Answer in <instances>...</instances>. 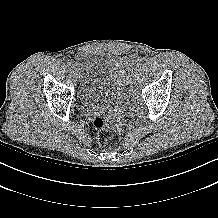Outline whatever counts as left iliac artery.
<instances>
[{
  "instance_id": "1",
  "label": "left iliac artery",
  "mask_w": 218,
  "mask_h": 218,
  "mask_svg": "<svg viewBox=\"0 0 218 218\" xmlns=\"http://www.w3.org/2000/svg\"><path fill=\"white\" fill-rule=\"evenodd\" d=\"M139 64H140V65H143V62H140Z\"/></svg>"
}]
</instances>
